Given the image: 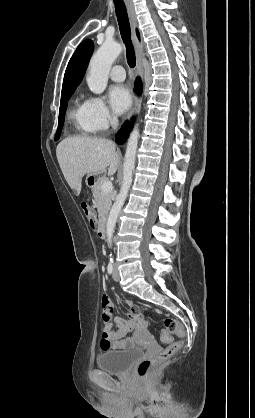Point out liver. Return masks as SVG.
<instances>
[{
    "instance_id": "obj_1",
    "label": "liver",
    "mask_w": 255,
    "mask_h": 418,
    "mask_svg": "<svg viewBox=\"0 0 255 418\" xmlns=\"http://www.w3.org/2000/svg\"><path fill=\"white\" fill-rule=\"evenodd\" d=\"M61 171L76 195L81 192L85 174L116 173L119 156L113 141L99 137L76 136L63 139L56 148Z\"/></svg>"
}]
</instances>
